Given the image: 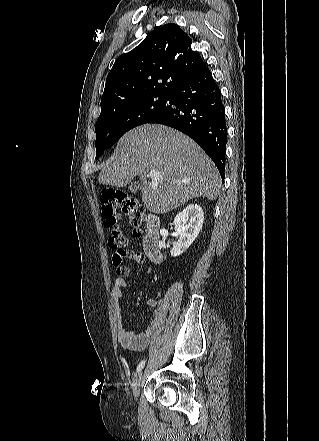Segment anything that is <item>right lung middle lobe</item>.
<instances>
[{
	"mask_svg": "<svg viewBox=\"0 0 319 441\" xmlns=\"http://www.w3.org/2000/svg\"><path fill=\"white\" fill-rule=\"evenodd\" d=\"M159 97L158 99H156ZM168 96H147L102 110L97 120L96 159L130 129L148 123L166 107Z\"/></svg>",
	"mask_w": 319,
	"mask_h": 441,
	"instance_id": "1",
	"label": "right lung middle lobe"
}]
</instances>
